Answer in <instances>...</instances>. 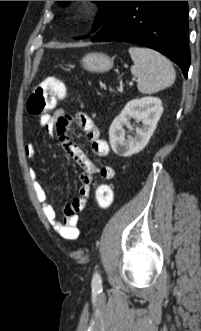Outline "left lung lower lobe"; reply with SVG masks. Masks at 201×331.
<instances>
[{"label": "left lung lower lobe", "instance_id": "left-lung-lower-lobe-1", "mask_svg": "<svg viewBox=\"0 0 201 331\" xmlns=\"http://www.w3.org/2000/svg\"><path fill=\"white\" fill-rule=\"evenodd\" d=\"M91 41H123L152 48L175 62L187 78L188 3L121 1Z\"/></svg>", "mask_w": 201, "mask_h": 331}]
</instances>
